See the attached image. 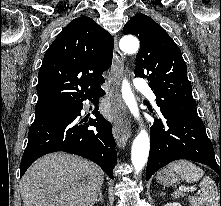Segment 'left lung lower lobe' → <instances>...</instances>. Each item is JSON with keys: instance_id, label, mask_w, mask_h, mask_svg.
Returning a JSON list of instances; mask_svg holds the SVG:
<instances>
[{"instance_id": "0a47b994", "label": "left lung lower lobe", "mask_w": 221, "mask_h": 206, "mask_svg": "<svg viewBox=\"0 0 221 206\" xmlns=\"http://www.w3.org/2000/svg\"><path fill=\"white\" fill-rule=\"evenodd\" d=\"M161 116L150 130L146 179L174 160L187 159L208 165L220 175L221 181V161L218 165L201 118L196 114L163 110Z\"/></svg>"}]
</instances>
